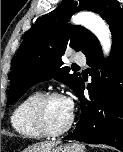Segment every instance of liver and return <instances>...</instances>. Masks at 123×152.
<instances>
[{
  "instance_id": "obj_1",
  "label": "liver",
  "mask_w": 123,
  "mask_h": 152,
  "mask_svg": "<svg viewBox=\"0 0 123 152\" xmlns=\"http://www.w3.org/2000/svg\"><path fill=\"white\" fill-rule=\"evenodd\" d=\"M57 144V142H41L29 146L23 152H50Z\"/></svg>"
}]
</instances>
